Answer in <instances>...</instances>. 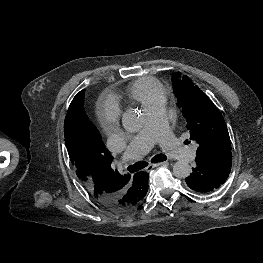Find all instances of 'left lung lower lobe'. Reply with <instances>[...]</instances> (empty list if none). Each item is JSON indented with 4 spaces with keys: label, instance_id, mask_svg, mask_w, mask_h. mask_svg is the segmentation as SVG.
<instances>
[{
    "label": "left lung lower lobe",
    "instance_id": "0a47b994",
    "mask_svg": "<svg viewBox=\"0 0 263 263\" xmlns=\"http://www.w3.org/2000/svg\"><path fill=\"white\" fill-rule=\"evenodd\" d=\"M192 173L185 179L192 190L208 194L217 190L227 180L232 164L231 150H220L216 153L197 156Z\"/></svg>",
    "mask_w": 263,
    "mask_h": 263
}]
</instances>
